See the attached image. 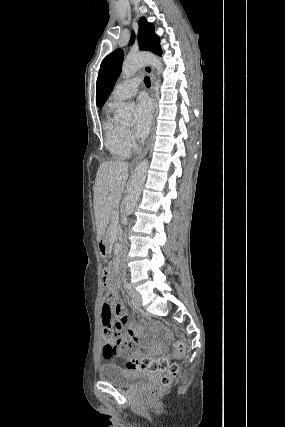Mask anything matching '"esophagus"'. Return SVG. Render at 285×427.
Returning <instances> with one entry per match:
<instances>
[{
	"mask_svg": "<svg viewBox=\"0 0 285 427\" xmlns=\"http://www.w3.org/2000/svg\"><path fill=\"white\" fill-rule=\"evenodd\" d=\"M144 71L150 76L151 79V97L153 100V109H152V125H151V132H150V137L148 139V142L146 144V147L144 148V150L136 157L134 158V160L132 161V166H136L147 154L150 145H151V141L155 132V121H156V105H157V100H156V80H155V74H154V69L151 65H145L144 66Z\"/></svg>",
	"mask_w": 285,
	"mask_h": 427,
	"instance_id": "34e87169",
	"label": "esophagus"
}]
</instances>
